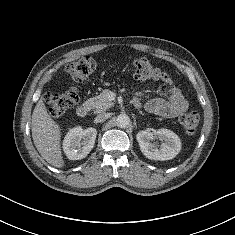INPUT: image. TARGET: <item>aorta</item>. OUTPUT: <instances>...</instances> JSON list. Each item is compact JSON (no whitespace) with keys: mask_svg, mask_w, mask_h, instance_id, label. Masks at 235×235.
Returning a JSON list of instances; mask_svg holds the SVG:
<instances>
[{"mask_svg":"<svg viewBox=\"0 0 235 235\" xmlns=\"http://www.w3.org/2000/svg\"><path fill=\"white\" fill-rule=\"evenodd\" d=\"M116 124L120 128H127L130 125V118L126 114H120L116 118Z\"/></svg>","mask_w":235,"mask_h":235,"instance_id":"1","label":"aorta"}]
</instances>
